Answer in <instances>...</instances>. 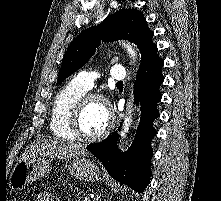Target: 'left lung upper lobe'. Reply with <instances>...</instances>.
<instances>
[{
  "mask_svg": "<svg viewBox=\"0 0 221 201\" xmlns=\"http://www.w3.org/2000/svg\"><path fill=\"white\" fill-rule=\"evenodd\" d=\"M154 33L143 14L137 9H122L106 17L95 27L81 32L70 44L64 56L57 84L81 68L103 42L125 39L134 42L141 52L140 72L157 57V46L152 42Z\"/></svg>",
  "mask_w": 221,
  "mask_h": 201,
  "instance_id": "1",
  "label": "left lung upper lobe"
}]
</instances>
